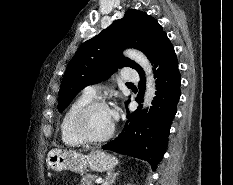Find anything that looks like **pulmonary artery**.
<instances>
[{
    "instance_id": "e3ab8cb5",
    "label": "pulmonary artery",
    "mask_w": 233,
    "mask_h": 185,
    "mask_svg": "<svg viewBox=\"0 0 233 185\" xmlns=\"http://www.w3.org/2000/svg\"><path fill=\"white\" fill-rule=\"evenodd\" d=\"M121 77L124 81H128V82H137L139 80L138 74L130 68L123 69ZM97 93H98L97 85L87 86L83 91V95L90 99L95 98L97 96Z\"/></svg>"
}]
</instances>
